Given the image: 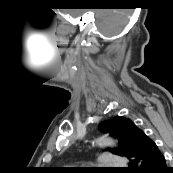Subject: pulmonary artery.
I'll use <instances>...</instances> for the list:
<instances>
[{"mask_svg": "<svg viewBox=\"0 0 173 173\" xmlns=\"http://www.w3.org/2000/svg\"><path fill=\"white\" fill-rule=\"evenodd\" d=\"M98 163L106 168H118L124 165V161L121 157L115 156L110 153L103 154L99 158Z\"/></svg>", "mask_w": 173, "mask_h": 173, "instance_id": "pulmonary-artery-1", "label": "pulmonary artery"}]
</instances>
